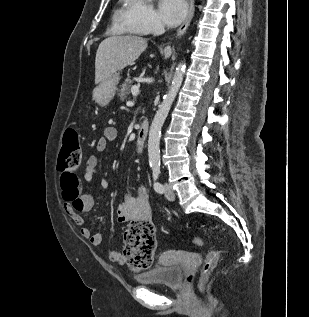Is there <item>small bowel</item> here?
I'll return each instance as SVG.
<instances>
[{
  "instance_id": "c3829d8e",
  "label": "small bowel",
  "mask_w": 309,
  "mask_h": 317,
  "mask_svg": "<svg viewBox=\"0 0 309 317\" xmlns=\"http://www.w3.org/2000/svg\"><path fill=\"white\" fill-rule=\"evenodd\" d=\"M118 132L116 128L110 126L105 128L103 136L100 137L95 145L97 152H103L108 143L117 139ZM98 158L96 155H90L86 160L83 178L86 182H92L98 175ZM105 180H103V183ZM62 196L64 200V210L73 222L80 227V234L88 240L93 246H100L103 242L102 234L93 232L86 225L83 213L89 212L94 206V197L91 193L83 192L80 180L75 173L67 177L66 184L61 182ZM152 212L147 188L139 185L136 188L134 196L127 195L116 208L117 220L121 223L132 222L135 220H151ZM104 252L113 263L122 265L126 257L111 248L105 247Z\"/></svg>"
}]
</instances>
